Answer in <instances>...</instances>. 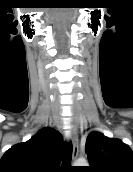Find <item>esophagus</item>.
<instances>
[{
	"mask_svg": "<svg viewBox=\"0 0 133 172\" xmlns=\"http://www.w3.org/2000/svg\"><path fill=\"white\" fill-rule=\"evenodd\" d=\"M71 139H72V156L73 159H76L78 156V137H77V131L74 126L71 128Z\"/></svg>",
	"mask_w": 133,
	"mask_h": 172,
	"instance_id": "1",
	"label": "esophagus"
}]
</instances>
